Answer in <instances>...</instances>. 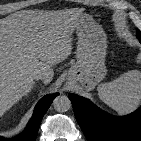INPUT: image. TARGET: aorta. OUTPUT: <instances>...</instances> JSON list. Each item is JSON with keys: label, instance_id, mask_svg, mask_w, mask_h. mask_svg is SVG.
Listing matches in <instances>:
<instances>
[{"label": "aorta", "instance_id": "aorta-1", "mask_svg": "<svg viewBox=\"0 0 141 141\" xmlns=\"http://www.w3.org/2000/svg\"><path fill=\"white\" fill-rule=\"evenodd\" d=\"M53 107L57 112H66L71 108V101L67 96L60 95L54 99Z\"/></svg>", "mask_w": 141, "mask_h": 141}]
</instances>
